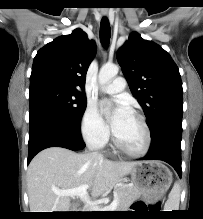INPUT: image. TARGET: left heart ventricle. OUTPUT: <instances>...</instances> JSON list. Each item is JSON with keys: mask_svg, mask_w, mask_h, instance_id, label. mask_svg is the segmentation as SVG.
I'll list each match as a JSON object with an SVG mask.
<instances>
[{"mask_svg": "<svg viewBox=\"0 0 203 219\" xmlns=\"http://www.w3.org/2000/svg\"><path fill=\"white\" fill-rule=\"evenodd\" d=\"M114 133L118 140L130 150H140L144 144L143 127L140 121L131 113L120 122Z\"/></svg>", "mask_w": 203, "mask_h": 219, "instance_id": "obj_1", "label": "left heart ventricle"}]
</instances>
